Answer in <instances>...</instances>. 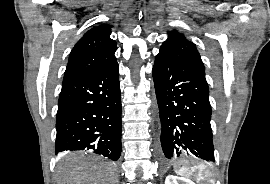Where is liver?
Masks as SVG:
<instances>
[{
  "mask_svg": "<svg viewBox=\"0 0 270 184\" xmlns=\"http://www.w3.org/2000/svg\"><path fill=\"white\" fill-rule=\"evenodd\" d=\"M58 184H115L116 169L103 161H77L61 167L57 173Z\"/></svg>",
  "mask_w": 270,
  "mask_h": 184,
  "instance_id": "obj_1",
  "label": "liver"
}]
</instances>
